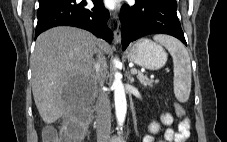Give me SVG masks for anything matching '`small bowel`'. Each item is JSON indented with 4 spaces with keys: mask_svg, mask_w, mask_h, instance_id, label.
Here are the masks:
<instances>
[{
    "mask_svg": "<svg viewBox=\"0 0 227 142\" xmlns=\"http://www.w3.org/2000/svg\"><path fill=\"white\" fill-rule=\"evenodd\" d=\"M173 116L170 113L163 114L161 116V121L163 124L168 126L165 130L163 139L157 142H186L190 136V123L189 120L185 117L183 118L179 125L178 130L174 131L169 126L173 123ZM142 142H155L154 137L152 135H145L143 137Z\"/></svg>",
    "mask_w": 227,
    "mask_h": 142,
    "instance_id": "obj_1",
    "label": "small bowel"
}]
</instances>
